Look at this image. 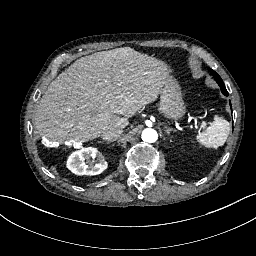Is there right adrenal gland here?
Returning <instances> with one entry per match:
<instances>
[{
    "label": "right adrenal gland",
    "instance_id": "obj_1",
    "mask_svg": "<svg viewBox=\"0 0 256 256\" xmlns=\"http://www.w3.org/2000/svg\"><path fill=\"white\" fill-rule=\"evenodd\" d=\"M112 142V140H108V141H106V142H100V143H102V144H110Z\"/></svg>",
    "mask_w": 256,
    "mask_h": 256
}]
</instances>
